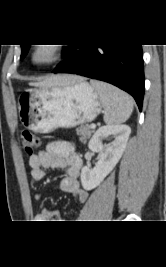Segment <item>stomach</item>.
Masks as SVG:
<instances>
[{"label":"stomach","mask_w":166,"mask_h":267,"mask_svg":"<svg viewBox=\"0 0 166 267\" xmlns=\"http://www.w3.org/2000/svg\"><path fill=\"white\" fill-rule=\"evenodd\" d=\"M18 102L22 124L37 133L91 122L102 109L97 91L85 81L29 89L20 95Z\"/></svg>","instance_id":"0dacf381"}]
</instances>
